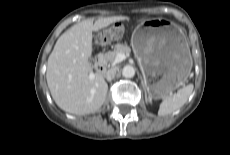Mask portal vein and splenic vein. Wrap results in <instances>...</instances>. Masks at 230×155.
<instances>
[{
	"label": "portal vein and splenic vein",
	"mask_w": 230,
	"mask_h": 155,
	"mask_svg": "<svg viewBox=\"0 0 230 155\" xmlns=\"http://www.w3.org/2000/svg\"><path fill=\"white\" fill-rule=\"evenodd\" d=\"M125 59H126V55L124 53H119L116 56L114 63H120V62H122ZM90 76H92V75H90Z\"/></svg>",
	"instance_id": "18ae733b"
}]
</instances>
